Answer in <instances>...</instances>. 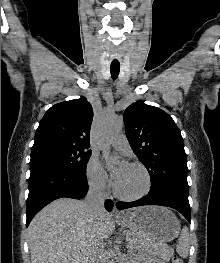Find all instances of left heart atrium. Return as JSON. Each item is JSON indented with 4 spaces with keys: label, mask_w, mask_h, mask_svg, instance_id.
Returning a JSON list of instances; mask_svg holds the SVG:
<instances>
[{
    "label": "left heart atrium",
    "mask_w": 220,
    "mask_h": 263,
    "mask_svg": "<svg viewBox=\"0 0 220 263\" xmlns=\"http://www.w3.org/2000/svg\"><path fill=\"white\" fill-rule=\"evenodd\" d=\"M128 164L125 161H121L117 168L113 172V178L116 180L122 173L123 171L127 168Z\"/></svg>",
    "instance_id": "1"
}]
</instances>
